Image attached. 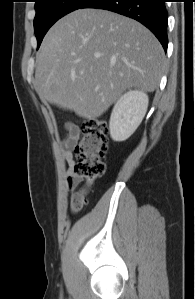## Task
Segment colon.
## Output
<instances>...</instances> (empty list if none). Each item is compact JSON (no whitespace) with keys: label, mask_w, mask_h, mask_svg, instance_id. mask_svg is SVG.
Returning <instances> with one entry per match:
<instances>
[{"label":"colon","mask_w":195,"mask_h":299,"mask_svg":"<svg viewBox=\"0 0 195 299\" xmlns=\"http://www.w3.org/2000/svg\"><path fill=\"white\" fill-rule=\"evenodd\" d=\"M107 125L99 119L87 120L74 147L76 163L71 195V210L76 212L87 203L88 193L106 170L108 150Z\"/></svg>","instance_id":"obj_1"}]
</instances>
